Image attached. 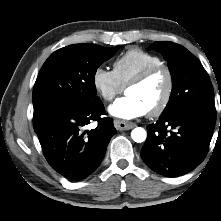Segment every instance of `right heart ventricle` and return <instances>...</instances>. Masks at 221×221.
Returning <instances> with one entry per match:
<instances>
[{"instance_id": "e07e8e85", "label": "right heart ventricle", "mask_w": 221, "mask_h": 221, "mask_svg": "<svg viewBox=\"0 0 221 221\" xmlns=\"http://www.w3.org/2000/svg\"><path fill=\"white\" fill-rule=\"evenodd\" d=\"M159 64L162 60L157 55L140 48H130L113 62V72L125 87L141 71Z\"/></svg>"}]
</instances>
